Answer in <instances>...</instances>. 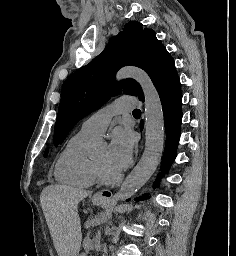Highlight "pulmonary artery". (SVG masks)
<instances>
[{
	"mask_svg": "<svg viewBox=\"0 0 236 256\" xmlns=\"http://www.w3.org/2000/svg\"><path fill=\"white\" fill-rule=\"evenodd\" d=\"M135 96H117L115 104H110L109 108H101L88 117L80 128V132L91 137L100 136L107 128L114 115H126L128 109H136L138 102Z\"/></svg>",
	"mask_w": 236,
	"mask_h": 256,
	"instance_id": "obj_1",
	"label": "pulmonary artery"
}]
</instances>
